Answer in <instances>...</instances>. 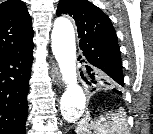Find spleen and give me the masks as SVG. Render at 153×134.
<instances>
[{
  "label": "spleen",
  "instance_id": "3e777b00",
  "mask_svg": "<svg viewBox=\"0 0 153 134\" xmlns=\"http://www.w3.org/2000/svg\"><path fill=\"white\" fill-rule=\"evenodd\" d=\"M91 130L97 134H129L125 109L119 108L115 111H109L94 121H90V113L87 112L78 123L75 131L76 134H91Z\"/></svg>",
  "mask_w": 153,
  "mask_h": 134
}]
</instances>
